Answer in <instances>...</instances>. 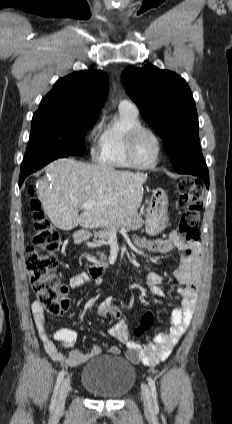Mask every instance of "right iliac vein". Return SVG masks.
<instances>
[{
	"label": "right iliac vein",
	"instance_id": "obj_1",
	"mask_svg": "<svg viewBox=\"0 0 232 424\" xmlns=\"http://www.w3.org/2000/svg\"><path fill=\"white\" fill-rule=\"evenodd\" d=\"M69 390H70V379L66 378L62 382V385H61L60 390H59L57 403H56V409H55L56 412L63 411Z\"/></svg>",
	"mask_w": 232,
	"mask_h": 424
}]
</instances>
